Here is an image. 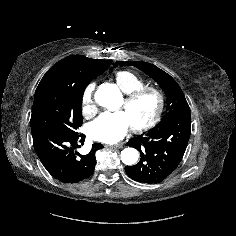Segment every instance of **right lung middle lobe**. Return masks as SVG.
Wrapping results in <instances>:
<instances>
[{
	"mask_svg": "<svg viewBox=\"0 0 236 236\" xmlns=\"http://www.w3.org/2000/svg\"><path fill=\"white\" fill-rule=\"evenodd\" d=\"M92 78L74 85L50 83L35 92L31 128L46 127L69 135H77L82 124V96Z\"/></svg>",
	"mask_w": 236,
	"mask_h": 236,
	"instance_id": "obj_1",
	"label": "right lung middle lobe"
}]
</instances>
